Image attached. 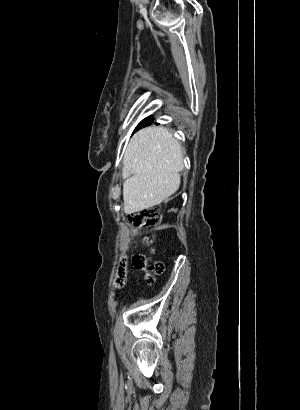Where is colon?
Returning <instances> with one entry per match:
<instances>
[{"instance_id": "colon-1", "label": "colon", "mask_w": 300, "mask_h": 410, "mask_svg": "<svg viewBox=\"0 0 300 410\" xmlns=\"http://www.w3.org/2000/svg\"><path fill=\"white\" fill-rule=\"evenodd\" d=\"M129 223L137 227L139 230H146L155 228L160 224L159 212L156 208L144 209L130 217ZM134 268L144 271L146 273L145 279L152 283L154 275L161 274L164 266L160 262L153 264L149 263V259L143 255H135L132 260ZM127 279L126 262L123 261L117 271L116 284L122 287Z\"/></svg>"}]
</instances>
